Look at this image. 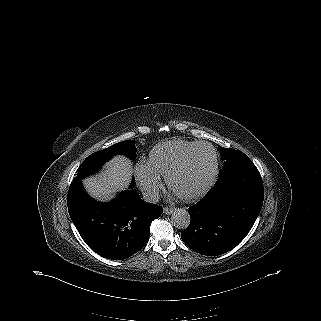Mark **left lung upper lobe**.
Returning <instances> with one entry per match:
<instances>
[{"instance_id": "obj_1", "label": "left lung upper lobe", "mask_w": 321, "mask_h": 321, "mask_svg": "<svg viewBox=\"0 0 321 321\" xmlns=\"http://www.w3.org/2000/svg\"><path fill=\"white\" fill-rule=\"evenodd\" d=\"M219 148L221 150L220 155H221L222 159L225 160L223 168L220 170V172H222L223 170H225L235 164L251 161L248 158V156L245 155L241 151L223 148L221 146H219Z\"/></svg>"}]
</instances>
